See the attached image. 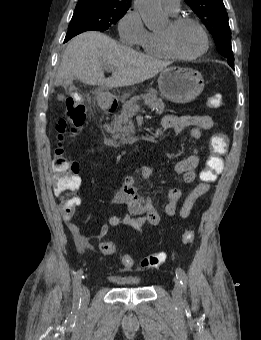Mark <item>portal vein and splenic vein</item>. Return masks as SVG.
I'll list each match as a JSON object with an SVG mask.
<instances>
[{"label":"portal vein and splenic vein","mask_w":261,"mask_h":340,"mask_svg":"<svg viewBox=\"0 0 261 340\" xmlns=\"http://www.w3.org/2000/svg\"><path fill=\"white\" fill-rule=\"evenodd\" d=\"M105 70L108 71V72H110V71H112L113 69H112V68H106ZM136 109L138 110V109H140V107H139V106H136Z\"/></svg>","instance_id":"obj_1"}]
</instances>
